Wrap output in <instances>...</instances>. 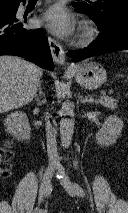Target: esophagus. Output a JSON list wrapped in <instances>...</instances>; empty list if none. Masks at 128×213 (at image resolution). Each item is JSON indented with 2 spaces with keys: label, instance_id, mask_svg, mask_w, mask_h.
Wrapping results in <instances>:
<instances>
[{
  "label": "esophagus",
  "instance_id": "1",
  "mask_svg": "<svg viewBox=\"0 0 128 213\" xmlns=\"http://www.w3.org/2000/svg\"><path fill=\"white\" fill-rule=\"evenodd\" d=\"M48 42L51 49L52 57L55 63L67 66L65 62V52L62 46L53 37L48 36Z\"/></svg>",
  "mask_w": 128,
  "mask_h": 213
}]
</instances>
